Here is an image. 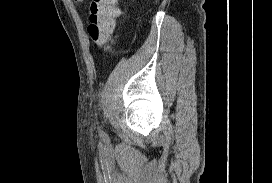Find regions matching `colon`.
Listing matches in <instances>:
<instances>
[{
    "instance_id": "5ec220e1",
    "label": "colon",
    "mask_w": 272,
    "mask_h": 183,
    "mask_svg": "<svg viewBox=\"0 0 272 183\" xmlns=\"http://www.w3.org/2000/svg\"><path fill=\"white\" fill-rule=\"evenodd\" d=\"M120 16L119 0L91 1L88 33L98 46L105 49L110 47Z\"/></svg>"
}]
</instances>
